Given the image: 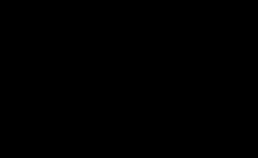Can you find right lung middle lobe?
Returning <instances> with one entry per match:
<instances>
[{"label":"right lung middle lobe","mask_w":258,"mask_h":158,"mask_svg":"<svg viewBox=\"0 0 258 158\" xmlns=\"http://www.w3.org/2000/svg\"><path fill=\"white\" fill-rule=\"evenodd\" d=\"M114 35L115 30L111 27L81 24L52 44L46 60L63 55H78L102 63V46Z\"/></svg>","instance_id":"1"}]
</instances>
